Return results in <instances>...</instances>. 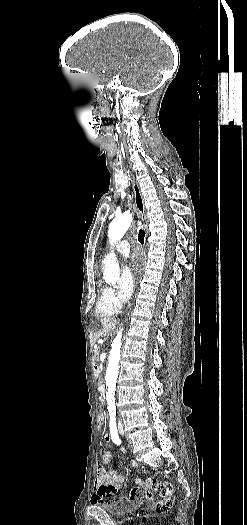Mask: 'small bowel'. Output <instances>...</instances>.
<instances>
[{
  "label": "small bowel",
  "instance_id": "obj_1",
  "mask_svg": "<svg viewBox=\"0 0 247 525\" xmlns=\"http://www.w3.org/2000/svg\"><path fill=\"white\" fill-rule=\"evenodd\" d=\"M105 439L108 442L113 440L110 433L105 434ZM112 460V453L106 450L97 463V474L95 478L96 493L92 496L93 506H117L119 504L118 486L123 483L124 478L116 471H106V466ZM133 465L137 467L136 462H133ZM126 474L137 475L139 474V469H126ZM146 485L147 482L143 478L135 480L133 488L129 491L130 497L128 495L127 498L130 499L133 504H140L143 501L141 493L144 492L146 495V501H151V496H149L151 492L156 491L157 494L161 492L164 496V501L156 504L154 510L158 514L163 512L170 513L172 511L170 496L173 490L171 481L168 479L152 481L148 483V486H150L149 489L145 490ZM158 500H161V497H158Z\"/></svg>",
  "mask_w": 247,
  "mask_h": 525
}]
</instances>
